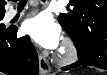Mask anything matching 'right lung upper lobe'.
Returning <instances> with one entry per match:
<instances>
[{"label": "right lung upper lobe", "instance_id": "right-lung-upper-lobe-1", "mask_svg": "<svg viewBox=\"0 0 107 75\" xmlns=\"http://www.w3.org/2000/svg\"><path fill=\"white\" fill-rule=\"evenodd\" d=\"M4 5H5L4 0H0V14H4L5 13Z\"/></svg>", "mask_w": 107, "mask_h": 75}]
</instances>
